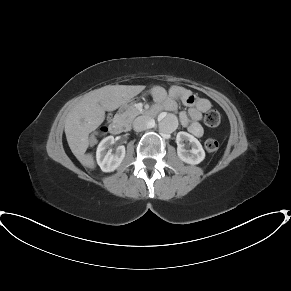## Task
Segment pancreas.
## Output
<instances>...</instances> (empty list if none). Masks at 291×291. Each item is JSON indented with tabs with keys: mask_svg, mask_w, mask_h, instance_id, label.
Wrapping results in <instances>:
<instances>
[{
	"mask_svg": "<svg viewBox=\"0 0 291 291\" xmlns=\"http://www.w3.org/2000/svg\"><path fill=\"white\" fill-rule=\"evenodd\" d=\"M140 114H143L142 110L137 109L135 105H129L119 113V116L123 122L130 123Z\"/></svg>",
	"mask_w": 291,
	"mask_h": 291,
	"instance_id": "obj_1",
	"label": "pancreas"
}]
</instances>
